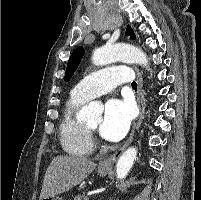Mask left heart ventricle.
Returning <instances> with one entry per match:
<instances>
[{
    "mask_svg": "<svg viewBox=\"0 0 201 200\" xmlns=\"http://www.w3.org/2000/svg\"><path fill=\"white\" fill-rule=\"evenodd\" d=\"M101 125V119H98L96 121H93L91 123L88 124L89 127L93 128V129H98Z\"/></svg>",
    "mask_w": 201,
    "mask_h": 200,
    "instance_id": "left-heart-ventricle-1",
    "label": "left heart ventricle"
}]
</instances>
